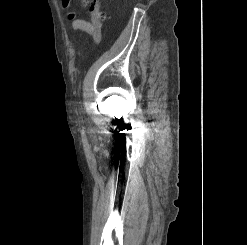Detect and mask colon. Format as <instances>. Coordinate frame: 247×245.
<instances>
[{
    "label": "colon",
    "mask_w": 247,
    "mask_h": 245,
    "mask_svg": "<svg viewBox=\"0 0 247 245\" xmlns=\"http://www.w3.org/2000/svg\"><path fill=\"white\" fill-rule=\"evenodd\" d=\"M84 1L90 7V10L93 14V18L102 21L104 15L96 10V0H84Z\"/></svg>",
    "instance_id": "5ec220e1"
}]
</instances>
